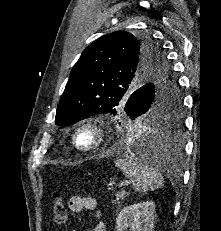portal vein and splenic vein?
I'll list each match as a JSON object with an SVG mask.
<instances>
[{
  "instance_id": "1",
  "label": "portal vein and splenic vein",
  "mask_w": 221,
  "mask_h": 231,
  "mask_svg": "<svg viewBox=\"0 0 221 231\" xmlns=\"http://www.w3.org/2000/svg\"><path fill=\"white\" fill-rule=\"evenodd\" d=\"M125 185H126V183H120V184H119L120 187H123V186H125Z\"/></svg>"
}]
</instances>
